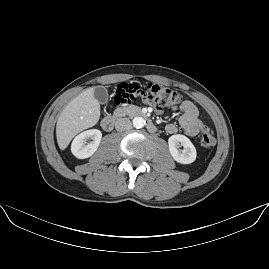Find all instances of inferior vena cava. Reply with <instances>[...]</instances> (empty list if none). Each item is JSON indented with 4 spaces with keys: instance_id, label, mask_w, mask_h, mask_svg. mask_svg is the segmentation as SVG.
<instances>
[{
    "instance_id": "inferior-vena-cava-1",
    "label": "inferior vena cava",
    "mask_w": 269,
    "mask_h": 269,
    "mask_svg": "<svg viewBox=\"0 0 269 269\" xmlns=\"http://www.w3.org/2000/svg\"><path fill=\"white\" fill-rule=\"evenodd\" d=\"M132 127L131 121L128 118H118L115 122L117 131L129 130Z\"/></svg>"
}]
</instances>
